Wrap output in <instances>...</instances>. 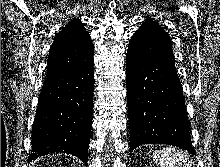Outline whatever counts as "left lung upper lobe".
<instances>
[{
    "mask_svg": "<svg viewBox=\"0 0 220 167\" xmlns=\"http://www.w3.org/2000/svg\"><path fill=\"white\" fill-rule=\"evenodd\" d=\"M129 50L141 56H159L174 60L170 37L165 29L152 20L145 21L135 32Z\"/></svg>",
    "mask_w": 220,
    "mask_h": 167,
    "instance_id": "left-lung-upper-lobe-1",
    "label": "left lung upper lobe"
}]
</instances>
